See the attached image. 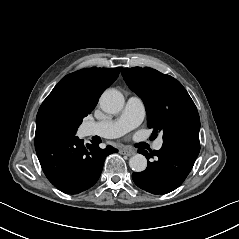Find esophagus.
<instances>
[{
  "mask_svg": "<svg viewBox=\"0 0 239 239\" xmlns=\"http://www.w3.org/2000/svg\"><path fill=\"white\" fill-rule=\"evenodd\" d=\"M121 154L127 155V156H132L135 154L134 150H122Z\"/></svg>",
  "mask_w": 239,
  "mask_h": 239,
  "instance_id": "esophagus-1",
  "label": "esophagus"
}]
</instances>
